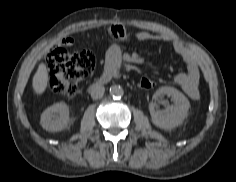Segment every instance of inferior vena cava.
Returning a JSON list of instances; mask_svg holds the SVG:
<instances>
[{
	"mask_svg": "<svg viewBox=\"0 0 236 182\" xmlns=\"http://www.w3.org/2000/svg\"><path fill=\"white\" fill-rule=\"evenodd\" d=\"M105 88L102 85H96L91 90V97L93 99H99L104 95Z\"/></svg>",
	"mask_w": 236,
	"mask_h": 182,
	"instance_id": "1",
	"label": "inferior vena cava"
}]
</instances>
